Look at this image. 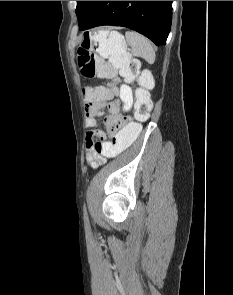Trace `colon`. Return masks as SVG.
Wrapping results in <instances>:
<instances>
[{"instance_id": "5ec220e1", "label": "colon", "mask_w": 233, "mask_h": 295, "mask_svg": "<svg viewBox=\"0 0 233 295\" xmlns=\"http://www.w3.org/2000/svg\"><path fill=\"white\" fill-rule=\"evenodd\" d=\"M96 53L98 56H96ZM77 61L81 74L87 78H113L117 74L126 81H132L139 72V62L127 52L122 36L117 32L99 31L86 33L77 49ZM105 86L83 88L84 97L92 98L105 95ZM152 102L144 89H139L135 103V121L121 129H111L112 140L93 142L94 149L106 157H116L141 135V124L151 113Z\"/></svg>"}]
</instances>
